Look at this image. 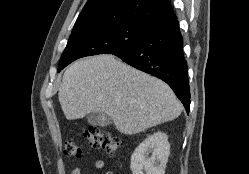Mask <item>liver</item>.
I'll use <instances>...</instances> for the list:
<instances>
[{
    "mask_svg": "<svg viewBox=\"0 0 249 174\" xmlns=\"http://www.w3.org/2000/svg\"><path fill=\"white\" fill-rule=\"evenodd\" d=\"M58 98L68 120L103 113L126 135L172 121L183 109L166 83L110 54L73 63L64 73Z\"/></svg>",
    "mask_w": 249,
    "mask_h": 174,
    "instance_id": "liver-1",
    "label": "liver"
}]
</instances>
